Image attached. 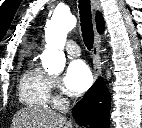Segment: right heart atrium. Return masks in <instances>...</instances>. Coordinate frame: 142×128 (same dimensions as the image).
Listing matches in <instances>:
<instances>
[{"label":"right heart atrium","mask_w":142,"mask_h":128,"mask_svg":"<svg viewBox=\"0 0 142 128\" xmlns=\"http://www.w3.org/2000/svg\"><path fill=\"white\" fill-rule=\"evenodd\" d=\"M48 86L50 91H57L59 90V83L56 78L48 77Z\"/></svg>","instance_id":"obj_1"}]
</instances>
